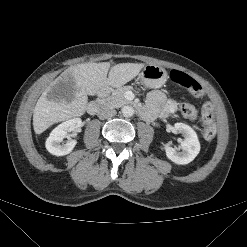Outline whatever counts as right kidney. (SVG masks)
<instances>
[{"mask_svg":"<svg viewBox=\"0 0 247 247\" xmlns=\"http://www.w3.org/2000/svg\"><path fill=\"white\" fill-rule=\"evenodd\" d=\"M82 125L80 118H73L59 124L50 133L46 140L45 146L49 153L56 156L69 154L76 145V140H71L65 144H60L69 132L78 131Z\"/></svg>","mask_w":247,"mask_h":247,"instance_id":"1","label":"right kidney"}]
</instances>
